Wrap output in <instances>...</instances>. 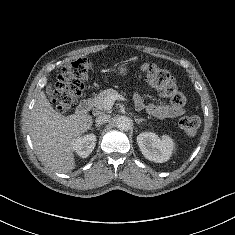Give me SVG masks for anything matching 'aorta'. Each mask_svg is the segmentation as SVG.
Wrapping results in <instances>:
<instances>
[{"instance_id":"obj_1","label":"aorta","mask_w":235,"mask_h":235,"mask_svg":"<svg viewBox=\"0 0 235 235\" xmlns=\"http://www.w3.org/2000/svg\"><path fill=\"white\" fill-rule=\"evenodd\" d=\"M131 123L132 122H131L130 118H128L126 116H121L116 121L117 128L121 131L129 130L131 127Z\"/></svg>"}]
</instances>
